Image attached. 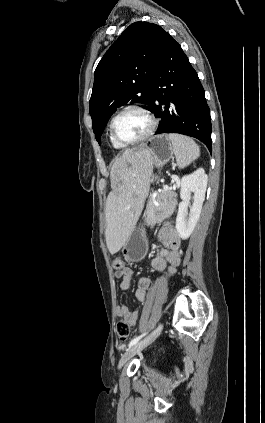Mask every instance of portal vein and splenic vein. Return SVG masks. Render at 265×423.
Returning a JSON list of instances; mask_svg holds the SVG:
<instances>
[{"instance_id":"obj_1","label":"portal vein and splenic vein","mask_w":265,"mask_h":423,"mask_svg":"<svg viewBox=\"0 0 265 423\" xmlns=\"http://www.w3.org/2000/svg\"><path fill=\"white\" fill-rule=\"evenodd\" d=\"M163 189H164V190H169V189H170V187H169L168 185H164V186H163Z\"/></svg>"}]
</instances>
